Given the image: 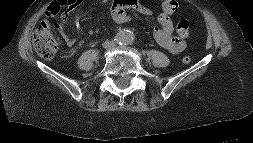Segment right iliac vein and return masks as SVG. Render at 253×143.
<instances>
[{"label": "right iliac vein", "instance_id": "63e3f726", "mask_svg": "<svg viewBox=\"0 0 253 143\" xmlns=\"http://www.w3.org/2000/svg\"><path fill=\"white\" fill-rule=\"evenodd\" d=\"M104 47H105V48H108V47H109V44H107V43L104 44Z\"/></svg>", "mask_w": 253, "mask_h": 143}]
</instances>
